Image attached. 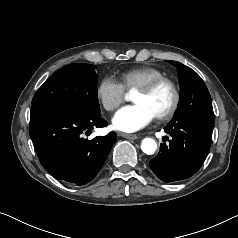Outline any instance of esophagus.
<instances>
[{"mask_svg": "<svg viewBox=\"0 0 238 238\" xmlns=\"http://www.w3.org/2000/svg\"><path fill=\"white\" fill-rule=\"evenodd\" d=\"M120 136L130 140H135L138 138V136L135 134H127V133H120Z\"/></svg>", "mask_w": 238, "mask_h": 238, "instance_id": "obj_1", "label": "esophagus"}]
</instances>
